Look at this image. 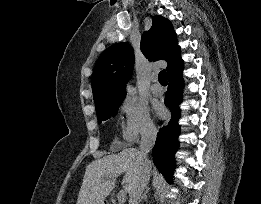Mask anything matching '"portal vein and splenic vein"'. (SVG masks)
I'll return each instance as SVG.
<instances>
[{"mask_svg":"<svg viewBox=\"0 0 261 204\" xmlns=\"http://www.w3.org/2000/svg\"><path fill=\"white\" fill-rule=\"evenodd\" d=\"M116 176H110V178H114ZM118 201L120 204H123L126 201V193L125 191L121 190L117 195Z\"/></svg>","mask_w":261,"mask_h":204,"instance_id":"1","label":"portal vein and splenic vein"}]
</instances>
